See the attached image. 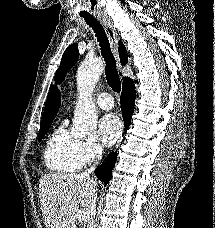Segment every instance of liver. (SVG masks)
Wrapping results in <instances>:
<instances>
[{"mask_svg":"<svg viewBox=\"0 0 215 228\" xmlns=\"http://www.w3.org/2000/svg\"><path fill=\"white\" fill-rule=\"evenodd\" d=\"M96 180L83 174L50 172L39 180L41 212L46 228H77L79 206L89 210ZM91 216V214H90Z\"/></svg>","mask_w":215,"mask_h":228,"instance_id":"6515ba94","label":"liver"}]
</instances>
